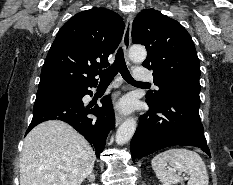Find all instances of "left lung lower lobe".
Returning <instances> with one entry per match:
<instances>
[{
  "label": "left lung lower lobe",
  "instance_id": "0a47b994",
  "mask_svg": "<svg viewBox=\"0 0 233 185\" xmlns=\"http://www.w3.org/2000/svg\"><path fill=\"white\" fill-rule=\"evenodd\" d=\"M200 88L184 87L170 94L159 106L140 117L130 148L132 160L173 145L196 146L210 157L198 113Z\"/></svg>",
  "mask_w": 233,
  "mask_h": 185
}]
</instances>
